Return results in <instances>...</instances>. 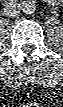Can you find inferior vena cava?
Returning a JSON list of instances; mask_svg holds the SVG:
<instances>
[{"label":"inferior vena cava","instance_id":"inferior-vena-cava-1","mask_svg":"<svg viewBox=\"0 0 63 107\" xmlns=\"http://www.w3.org/2000/svg\"><path fill=\"white\" fill-rule=\"evenodd\" d=\"M21 6L17 1L11 0L5 4L4 13L8 17L18 16Z\"/></svg>","mask_w":63,"mask_h":107}]
</instances>
